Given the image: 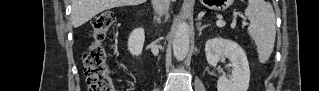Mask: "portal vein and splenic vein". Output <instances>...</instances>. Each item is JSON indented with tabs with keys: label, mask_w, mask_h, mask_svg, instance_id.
Here are the masks:
<instances>
[{
	"label": "portal vein and splenic vein",
	"mask_w": 319,
	"mask_h": 91,
	"mask_svg": "<svg viewBox=\"0 0 319 91\" xmlns=\"http://www.w3.org/2000/svg\"><path fill=\"white\" fill-rule=\"evenodd\" d=\"M216 24L219 27H223L225 25V22L220 20V21H217Z\"/></svg>",
	"instance_id": "obj_1"
}]
</instances>
